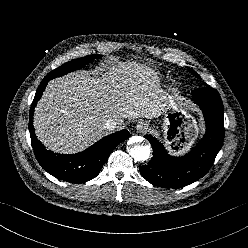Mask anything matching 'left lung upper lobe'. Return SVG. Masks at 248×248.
I'll return each instance as SVG.
<instances>
[{"label": "left lung upper lobe", "instance_id": "obj_1", "mask_svg": "<svg viewBox=\"0 0 248 248\" xmlns=\"http://www.w3.org/2000/svg\"><path fill=\"white\" fill-rule=\"evenodd\" d=\"M189 70V72H191L195 77L199 78V75L191 68H187Z\"/></svg>", "mask_w": 248, "mask_h": 248}]
</instances>
